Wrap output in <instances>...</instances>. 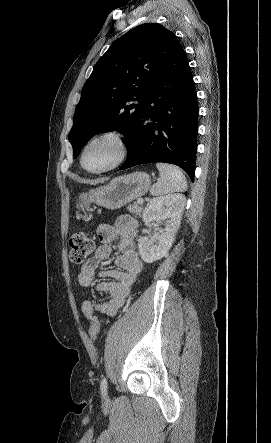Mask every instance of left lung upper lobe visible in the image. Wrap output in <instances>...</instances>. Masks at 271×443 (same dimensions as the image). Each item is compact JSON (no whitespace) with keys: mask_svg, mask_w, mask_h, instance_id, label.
Segmentation results:
<instances>
[{"mask_svg":"<svg viewBox=\"0 0 271 443\" xmlns=\"http://www.w3.org/2000/svg\"><path fill=\"white\" fill-rule=\"evenodd\" d=\"M179 45L172 31L146 23L110 46L95 64L76 106L68 135L74 157L99 131L118 130L127 137L128 146L143 115L150 82Z\"/></svg>","mask_w":271,"mask_h":443,"instance_id":"left-lung-upper-lobe-1","label":"left lung upper lobe"}]
</instances>
